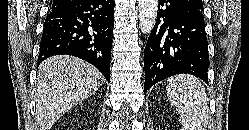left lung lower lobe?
Returning a JSON list of instances; mask_svg holds the SVG:
<instances>
[{
  "label": "left lung lower lobe",
  "mask_w": 249,
  "mask_h": 130,
  "mask_svg": "<svg viewBox=\"0 0 249 130\" xmlns=\"http://www.w3.org/2000/svg\"><path fill=\"white\" fill-rule=\"evenodd\" d=\"M146 91L176 74L208 81L209 55L203 13L184 0H159L157 20L144 50Z\"/></svg>",
  "instance_id": "left-lung-lower-lobe-1"
}]
</instances>
